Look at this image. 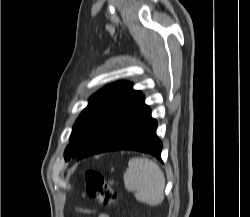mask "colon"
<instances>
[{
    "instance_id": "1",
    "label": "colon",
    "mask_w": 250,
    "mask_h": 217,
    "mask_svg": "<svg viewBox=\"0 0 250 217\" xmlns=\"http://www.w3.org/2000/svg\"><path fill=\"white\" fill-rule=\"evenodd\" d=\"M85 180L88 195L102 206L110 208L117 203V193L102 173L89 169L85 173Z\"/></svg>"
}]
</instances>
